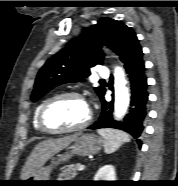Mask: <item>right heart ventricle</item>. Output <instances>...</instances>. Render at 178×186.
<instances>
[{
    "instance_id": "right-heart-ventricle-1",
    "label": "right heart ventricle",
    "mask_w": 178,
    "mask_h": 186,
    "mask_svg": "<svg viewBox=\"0 0 178 186\" xmlns=\"http://www.w3.org/2000/svg\"><path fill=\"white\" fill-rule=\"evenodd\" d=\"M45 101L41 102L39 105H37V107L35 108L34 112H33V117H32V122H33V126L35 128L36 131L38 132H43L39 125H38V112H39V109L41 107V105L44 103Z\"/></svg>"
}]
</instances>
